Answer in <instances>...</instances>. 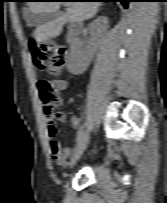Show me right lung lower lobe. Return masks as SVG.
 Wrapping results in <instances>:
<instances>
[{
  "mask_svg": "<svg viewBox=\"0 0 167 203\" xmlns=\"http://www.w3.org/2000/svg\"><path fill=\"white\" fill-rule=\"evenodd\" d=\"M100 2H121L124 6V8L128 7V2H131L132 0H96Z\"/></svg>",
  "mask_w": 167,
  "mask_h": 203,
  "instance_id": "obj_1",
  "label": "right lung lower lobe"
}]
</instances>
